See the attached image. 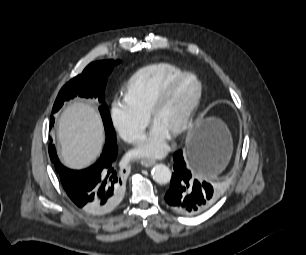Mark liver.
<instances>
[{
  "mask_svg": "<svg viewBox=\"0 0 306 255\" xmlns=\"http://www.w3.org/2000/svg\"><path fill=\"white\" fill-rule=\"evenodd\" d=\"M57 135L62 163L77 170L97 160L105 140L100 115L84 102L73 103L64 110Z\"/></svg>",
  "mask_w": 306,
  "mask_h": 255,
  "instance_id": "1",
  "label": "liver"
}]
</instances>
